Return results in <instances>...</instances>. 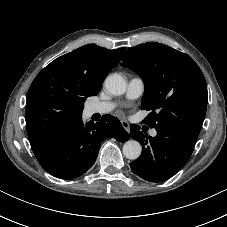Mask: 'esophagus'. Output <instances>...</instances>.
<instances>
[{
  "label": "esophagus",
  "instance_id": "1",
  "mask_svg": "<svg viewBox=\"0 0 227 227\" xmlns=\"http://www.w3.org/2000/svg\"><path fill=\"white\" fill-rule=\"evenodd\" d=\"M121 124H122L123 128H124L127 132L130 131V126H129V123H128L127 121L123 120V121H121Z\"/></svg>",
  "mask_w": 227,
  "mask_h": 227
}]
</instances>
